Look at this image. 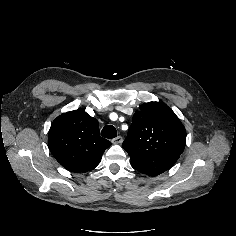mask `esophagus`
Listing matches in <instances>:
<instances>
[{
    "mask_svg": "<svg viewBox=\"0 0 236 236\" xmlns=\"http://www.w3.org/2000/svg\"><path fill=\"white\" fill-rule=\"evenodd\" d=\"M123 141L122 136H117L116 138L112 139L113 144H121Z\"/></svg>",
    "mask_w": 236,
    "mask_h": 236,
    "instance_id": "obj_1",
    "label": "esophagus"
}]
</instances>
